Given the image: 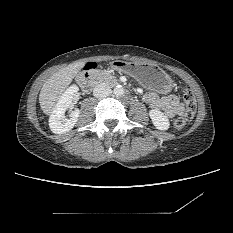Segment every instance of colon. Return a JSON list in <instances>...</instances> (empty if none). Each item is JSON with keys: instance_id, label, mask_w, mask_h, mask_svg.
<instances>
[{"instance_id": "obj_1", "label": "colon", "mask_w": 233, "mask_h": 233, "mask_svg": "<svg viewBox=\"0 0 233 233\" xmlns=\"http://www.w3.org/2000/svg\"><path fill=\"white\" fill-rule=\"evenodd\" d=\"M85 68L94 69L97 68V64L92 63L90 65H86ZM182 98L185 104V108L182 116L176 118L174 121V127L177 130H183L185 128L187 123L193 118L196 110V97L191 89L185 88L182 91Z\"/></svg>"}]
</instances>
